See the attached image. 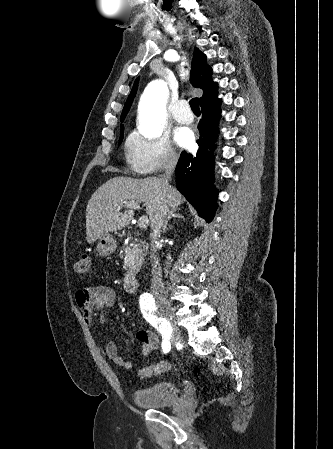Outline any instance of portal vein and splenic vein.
<instances>
[{"instance_id":"18ae733b","label":"portal vein and splenic vein","mask_w":333,"mask_h":449,"mask_svg":"<svg viewBox=\"0 0 333 449\" xmlns=\"http://www.w3.org/2000/svg\"><path fill=\"white\" fill-rule=\"evenodd\" d=\"M123 206L126 207V208H132V209H135V210L140 209L139 204H138L137 202H134V201H132V202H127V203H125V205H123ZM121 208H122V207L120 206L119 209H121ZM148 224H149V219H148L147 216H142V217L139 218V220H138V226H139L140 228H146V227L148 226Z\"/></svg>"}]
</instances>
